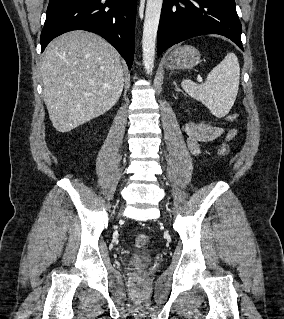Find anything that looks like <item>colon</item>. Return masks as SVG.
Returning <instances> with one entry per match:
<instances>
[{
  "mask_svg": "<svg viewBox=\"0 0 284 319\" xmlns=\"http://www.w3.org/2000/svg\"><path fill=\"white\" fill-rule=\"evenodd\" d=\"M237 118H238L237 113H231V114L226 116L227 121H235ZM228 151L229 150H228V147L226 145H222L219 148V152L223 155L228 154ZM148 242H149V236L147 234H144V233L138 234L134 239V244L137 247L145 246L146 244H148Z\"/></svg>",
  "mask_w": 284,
  "mask_h": 319,
  "instance_id": "colon-1",
  "label": "colon"
}]
</instances>
